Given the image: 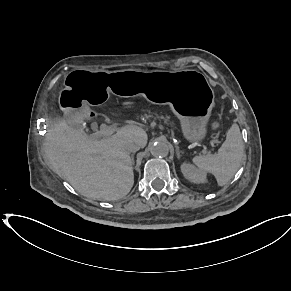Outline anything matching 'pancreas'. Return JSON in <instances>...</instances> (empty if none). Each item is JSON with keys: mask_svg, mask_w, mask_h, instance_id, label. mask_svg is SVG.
<instances>
[{"mask_svg": "<svg viewBox=\"0 0 291 291\" xmlns=\"http://www.w3.org/2000/svg\"><path fill=\"white\" fill-rule=\"evenodd\" d=\"M141 119H146L147 121L159 122L169 125L173 129H176L175 122L171 119V117L165 114L158 108H150V109H143L140 115H137Z\"/></svg>", "mask_w": 291, "mask_h": 291, "instance_id": "cf45deb5", "label": "pancreas"}]
</instances>
